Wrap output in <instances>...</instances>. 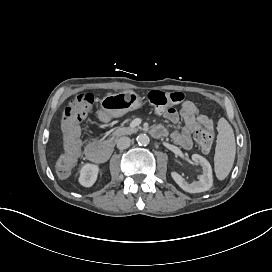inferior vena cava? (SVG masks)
<instances>
[{"label": "inferior vena cava", "mask_w": 272, "mask_h": 272, "mask_svg": "<svg viewBox=\"0 0 272 272\" xmlns=\"http://www.w3.org/2000/svg\"><path fill=\"white\" fill-rule=\"evenodd\" d=\"M130 146V138L123 136L118 139L117 141V148L118 149H127Z\"/></svg>", "instance_id": "1"}]
</instances>
